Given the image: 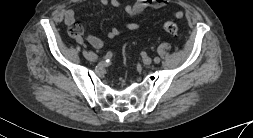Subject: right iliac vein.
I'll return each instance as SVG.
<instances>
[{
	"mask_svg": "<svg viewBox=\"0 0 253 138\" xmlns=\"http://www.w3.org/2000/svg\"><path fill=\"white\" fill-rule=\"evenodd\" d=\"M83 55H84L88 60H91V61H96V60H97L96 58L91 57L90 53L87 52L86 50H83Z\"/></svg>",
	"mask_w": 253,
	"mask_h": 138,
	"instance_id": "right-iliac-vein-1",
	"label": "right iliac vein"
}]
</instances>
